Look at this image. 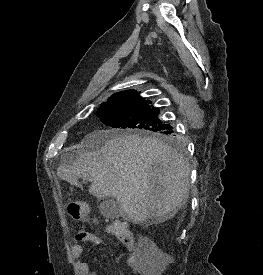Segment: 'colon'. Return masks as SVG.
<instances>
[{
	"label": "colon",
	"mask_w": 263,
	"mask_h": 275,
	"mask_svg": "<svg viewBox=\"0 0 263 275\" xmlns=\"http://www.w3.org/2000/svg\"><path fill=\"white\" fill-rule=\"evenodd\" d=\"M68 211L71 217L78 221H84L90 217L88 208L83 203H71ZM106 231L115 236L126 247L130 249L134 248L135 240L133 233L124 223L114 221L106 226ZM163 262L164 259L161 254L152 252L144 261L143 274L157 275Z\"/></svg>",
	"instance_id": "5ec220e1"
}]
</instances>
